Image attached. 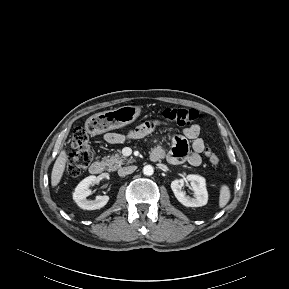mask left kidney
<instances>
[{"mask_svg":"<svg viewBox=\"0 0 289 289\" xmlns=\"http://www.w3.org/2000/svg\"><path fill=\"white\" fill-rule=\"evenodd\" d=\"M186 181L191 183L194 198L186 196L182 191V187ZM171 189L177 200L186 207H201L207 204L208 192L205 178L202 176L190 174L186 178L176 179L171 182Z\"/></svg>","mask_w":289,"mask_h":289,"instance_id":"1","label":"left kidney"}]
</instances>
